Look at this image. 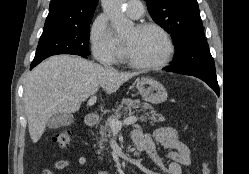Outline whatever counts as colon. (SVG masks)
<instances>
[{
  "mask_svg": "<svg viewBox=\"0 0 249 174\" xmlns=\"http://www.w3.org/2000/svg\"><path fill=\"white\" fill-rule=\"evenodd\" d=\"M73 137H74L73 131L71 129L64 128L53 136V141L58 147L66 149L70 147ZM202 174H210V167L208 163L203 164Z\"/></svg>",
  "mask_w": 249,
  "mask_h": 174,
  "instance_id": "1",
  "label": "colon"
}]
</instances>
